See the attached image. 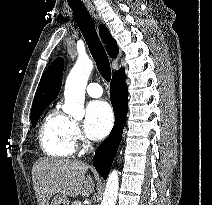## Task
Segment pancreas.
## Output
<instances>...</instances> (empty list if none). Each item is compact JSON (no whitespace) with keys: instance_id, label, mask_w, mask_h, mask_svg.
Here are the masks:
<instances>
[{"instance_id":"cf45deb5","label":"pancreas","mask_w":212,"mask_h":205,"mask_svg":"<svg viewBox=\"0 0 212 205\" xmlns=\"http://www.w3.org/2000/svg\"><path fill=\"white\" fill-rule=\"evenodd\" d=\"M72 205H82V204H81V202H80L79 200H77V201H74V202L72 203Z\"/></svg>"}]
</instances>
